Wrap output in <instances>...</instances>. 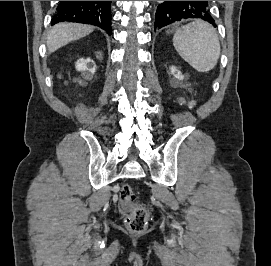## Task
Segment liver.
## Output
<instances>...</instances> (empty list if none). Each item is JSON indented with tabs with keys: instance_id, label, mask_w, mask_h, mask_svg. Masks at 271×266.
Segmentation results:
<instances>
[{
	"instance_id": "1",
	"label": "liver",
	"mask_w": 271,
	"mask_h": 266,
	"mask_svg": "<svg viewBox=\"0 0 271 266\" xmlns=\"http://www.w3.org/2000/svg\"><path fill=\"white\" fill-rule=\"evenodd\" d=\"M93 31V27L77 23H59L51 28L47 36V47L50 53L62 46L78 40Z\"/></svg>"
}]
</instances>
